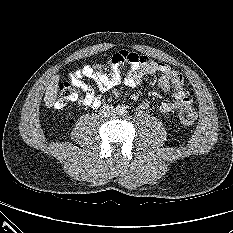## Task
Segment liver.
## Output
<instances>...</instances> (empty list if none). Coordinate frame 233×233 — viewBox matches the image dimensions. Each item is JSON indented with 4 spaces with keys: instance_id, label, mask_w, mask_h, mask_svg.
<instances>
[{
    "instance_id": "liver-1",
    "label": "liver",
    "mask_w": 233,
    "mask_h": 233,
    "mask_svg": "<svg viewBox=\"0 0 233 233\" xmlns=\"http://www.w3.org/2000/svg\"><path fill=\"white\" fill-rule=\"evenodd\" d=\"M58 88H59V76L56 75L53 77L52 81L48 85L47 90L45 92L44 102L46 107L50 108L55 103L57 98Z\"/></svg>"
}]
</instances>
